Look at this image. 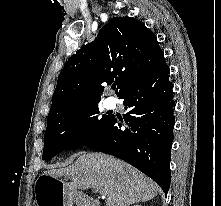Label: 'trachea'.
<instances>
[{
  "label": "trachea",
  "instance_id": "1",
  "mask_svg": "<svg viewBox=\"0 0 221 206\" xmlns=\"http://www.w3.org/2000/svg\"><path fill=\"white\" fill-rule=\"evenodd\" d=\"M112 88H113V89H115V88H116V86H115V85H113V86H112Z\"/></svg>",
  "mask_w": 221,
  "mask_h": 206
}]
</instances>
